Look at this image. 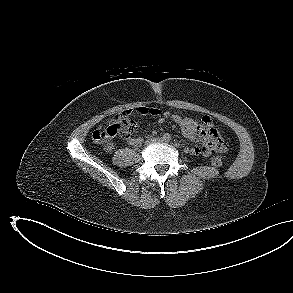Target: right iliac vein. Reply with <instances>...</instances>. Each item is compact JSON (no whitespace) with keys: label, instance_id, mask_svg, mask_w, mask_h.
<instances>
[{"label":"right iliac vein","instance_id":"obj_1","mask_svg":"<svg viewBox=\"0 0 293 293\" xmlns=\"http://www.w3.org/2000/svg\"><path fill=\"white\" fill-rule=\"evenodd\" d=\"M159 139H157V138H151V139H149L146 143L147 144H150V143H153V142H156V141H158Z\"/></svg>","mask_w":293,"mask_h":293}]
</instances>
